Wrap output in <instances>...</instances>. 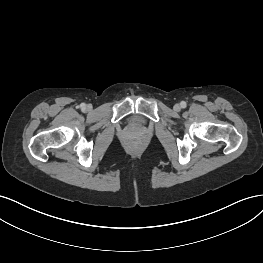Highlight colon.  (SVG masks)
Returning a JSON list of instances; mask_svg holds the SVG:
<instances>
[{
  "instance_id": "colon-1",
  "label": "colon",
  "mask_w": 263,
  "mask_h": 263,
  "mask_svg": "<svg viewBox=\"0 0 263 263\" xmlns=\"http://www.w3.org/2000/svg\"><path fill=\"white\" fill-rule=\"evenodd\" d=\"M131 148L134 150V149H136L137 147H136L135 144H132V145H131Z\"/></svg>"
}]
</instances>
